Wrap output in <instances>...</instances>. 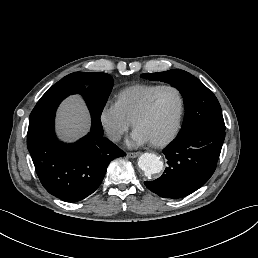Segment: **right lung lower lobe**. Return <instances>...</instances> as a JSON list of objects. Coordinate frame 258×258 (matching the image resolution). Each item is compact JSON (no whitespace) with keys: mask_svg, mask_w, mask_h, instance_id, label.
I'll use <instances>...</instances> for the list:
<instances>
[{"mask_svg":"<svg viewBox=\"0 0 258 258\" xmlns=\"http://www.w3.org/2000/svg\"><path fill=\"white\" fill-rule=\"evenodd\" d=\"M95 85L60 80L38 101L29 117L27 147L44 188L66 202L80 201L101 184L109 163L125 156L103 136L100 116L91 110ZM72 94L81 95L90 110V132L73 144L60 142L54 133V117L59 104Z\"/></svg>","mask_w":258,"mask_h":258,"instance_id":"98d812e1","label":"right lung lower lobe"}]
</instances>
